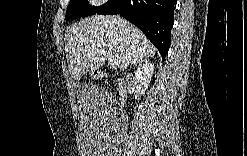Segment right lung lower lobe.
I'll return each instance as SVG.
<instances>
[{
  "instance_id": "1",
  "label": "right lung lower lobe",
  "mask_w": 247,
  "mask_h": 156,
  "mask_svg": "<svg viewBox=\"0 0 247 156\" xmlns=\"http://www.w3.org/2000/svg\"><path fill=\"white\" fill-rule=\"evenodd\" d=\"M175 6V0H108L97 14L123 16L145 34L164 59L171 44Z\"/></svg>"
}]
</instances>
